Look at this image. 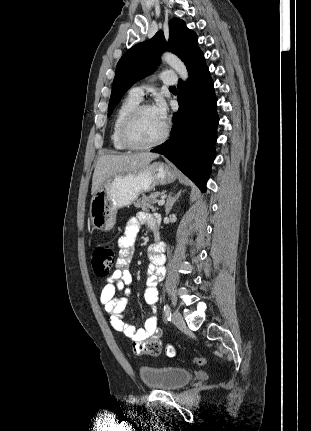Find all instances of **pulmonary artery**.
<instances>
[{
	"instance_id": "1",
	"label": "pulmonary artery",
	"mask_w": 311,
	"mask_h": 431,
	"mask_svg": "<svg viewBox=\"0 0 311 431\" xmlns=\"http://www.w3.org/2000/svg\"><path fill=\"white\" fill-rule=\"evenodd\" d=\"M160 79L163 83L171 85L175 83L174 79H171L165 75V73L161 74ZM151 84H141L138 86H134L131 88L130 92L134 95L138 96L139 98H142L144 90L150 86Z\"/></svg>"
}]
</instances>
